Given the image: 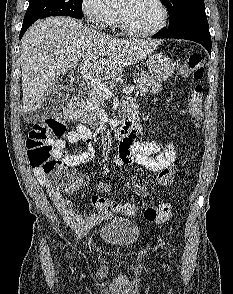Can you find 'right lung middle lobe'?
Returning a JSON list of instances; mask_svg holds the SVG:
<instances>
[{
	"instance_id": "obj_1",
	"label": "right lung middle lobe",
	"mask_w": 233,
	"mask_h": 294,
	"mask_svg": "<svg viewBox=\"0 0 233 294\" xmlns=\"http://www.w3.org/2000/svg\"><path fill=\"white\" fill-rule=\"evenodd\" d=\"M83 0H30L23 25L33 24L38 19L50 16H70L81 19Z\"/></svg>"
}]
</instances>
